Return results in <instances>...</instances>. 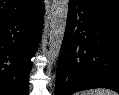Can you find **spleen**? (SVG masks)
Here are the masks:
<instances>
[{"label": "spleen", "mask_w": 119, "mask_h": 95, "mask_svg": "<svg viewBox=\"0 0 119 95\" xmlns=\"http://www.w3.org/2000/svg\"><path fill=\"white\" fill-rule=\"evenodd\" d=\"M76 95H117V93L113 92L112 90L99 88V89H94V90L83 91Z\"/></svg>", "instance_id": "obj_1"}]
</instances>
